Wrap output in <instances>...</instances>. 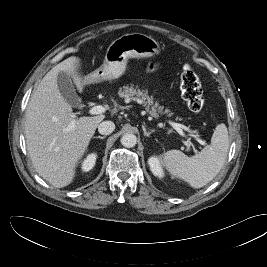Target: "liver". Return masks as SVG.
Here are the masks:
<instances>
[{"label":"liver","instance_id":"1","mask_svg":"<svg viewBox=\"0 0 267 267\" xmlns=\"http://www.w3.org/2000/svg\"><path fill=\"white\" fill-rule=\"evenodd\" d=\"M80 59L71 56L53 67L33 91L27 105L25 138L34 168L56 188L72 183L76 168L104 115L80 117L60 93L57 77L68 73L79 92L90 83V76L79 73ZM74 121V128L69 126Z\"/></svg>","mask_w":267,"mask_h":267}]
</instances>
